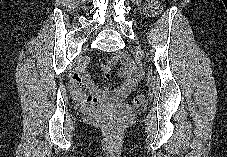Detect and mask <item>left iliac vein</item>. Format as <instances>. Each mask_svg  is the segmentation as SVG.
I'll return each mask as SVG.
<instances>
[{
    "mask_svg": "<svg viewBox=\"0 0 227 157\" xmlns=\"http://www.w3.org/2000/svg\"><path fill=\"white\" fill-rule=\"evenodd\" d=\"M136 53L139 54V55H140L141 57H143V58H144V56H145V55H144V52H143L141 49H138V48H137V49H136Z\"/></svg>",
    "mask_w": 227,
    "mask_h": 157,
    "instance_id": "left-iliac-vein-1",
    "label": "left iliac vein"
}]
</instances>
